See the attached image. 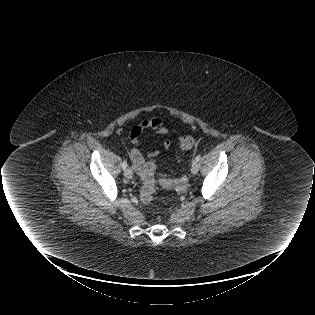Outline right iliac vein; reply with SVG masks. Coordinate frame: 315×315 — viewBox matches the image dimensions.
<instances>
[{
	"label": "right iliac vein",
	"mask_w": 315,
	"mask_h": 315,
	"mask_svg": "<svg viewBox=\"0 0 315 315\" xmlns=\"http://www.w3.org/2000/svg\"><path fill=\"white\" fill-rule=\"evenodd\" d=\"M124 175H125V177H126L127 179H131L132 176H133V171H132V169H131L130 167L126 168V169L124 170Z\"/></svg>",
	"instance_id": "1"
}]
</instances>
